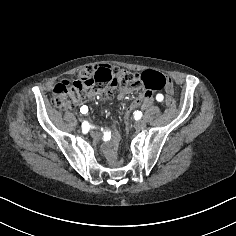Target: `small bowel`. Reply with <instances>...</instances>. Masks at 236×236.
Instances as JSON below:
<instances>
[{
	"mask_svg": "<svg viewBox=\"0 0 236 236\" xmlns=\"http://www.w3.org/2000/svg\"><path fill=\"white\" fill-rule=\"evenodd\" d=\"M140 84H132V85H122L120 88V91L118 93L119 99H124L128 95L136 92L139 90ZM169 92L171 89L168 90ZM111 96V93H107V97L109 98ZM153 102V99L151 95L145 97L142 100V104L144 107L151 106ZM102 150L103 153L108 161V163L114 167L118 168L121 165V161L117 158V147L120 142V134L114 124L110 125V127L106 128L102 132Z\"/></svg>",
	"mask_w": 236,
	"mask_h": 236,
	"instance_id": "c3829d8e",
	"label": "small bowel"
}]
</instances>
